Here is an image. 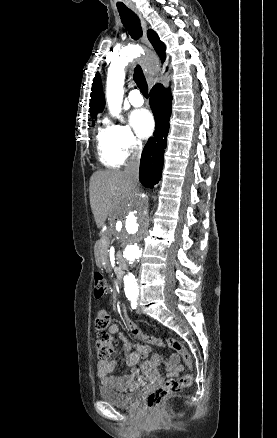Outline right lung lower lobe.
Instances as JSON below:
<instances>
[{"instance_id": "obj_1", "label": "right lung lower lobe", "mask_w": 277, "mask_h": 438, "mask_svg": "<svg viewBox=\"0 0 277 438\" xmlns=\"http://www.w3.org/2000/svg\"><path fill=\"white\" fill-rule=\"evenodd\" d=\"M150 105L156 119L157 131L142 152L139 173L140 182L147 188H153L162 174L172 105L170 90L162 84H156L150 91Z\"/></svg>"}]
</instances>
